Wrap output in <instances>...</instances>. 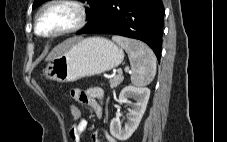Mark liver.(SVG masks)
<instances>
[{
	"instance_id": "liver-1",
	"label": "liver",
	"mask_w": 227,
	"mask_h": 142,
	"mask_svg": "<svg viewBox=\"0 0 227 142\" xmlns=\"http://www.w3.org/2000/svg\"><path fill=\"white\" fill-rule=\"evenodd\" d=\"M79 37L70 38L61 44L57 45L46 57V61H52L54 58L62 54L66 49H68L73 43L79 41Z\"/></svg>"
}]
</instances>
